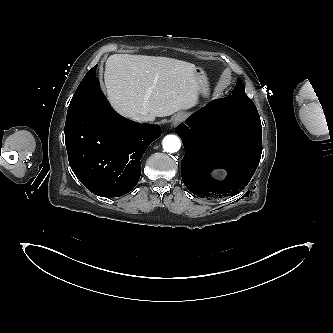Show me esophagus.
Wrapping results in <instances>:
<instances>
[{
    "mask_svg": "<svg viewBox=\"0 0 333 333\" xmlns=\"http://www.w3.org/2000/svg\"><path fill=\"white\" fill-rule=\"evenodd\" d=\"M185 119V115L182 113H179L177 115L174 116L173 121H172V126H177L180 123H182Z\"/></svg>",
    "mask_w": 333,
    "mask_h": 333,
    "instance_id": "obj_1",
    "label": "esophagus"
}]
</instances>
